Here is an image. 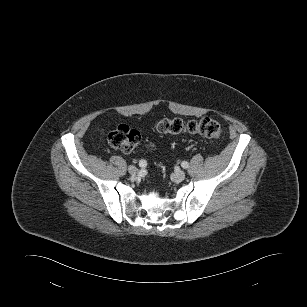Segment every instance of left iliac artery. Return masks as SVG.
<instances>
[{"label":"left iliac artery","mask_w":307,"mask_h":307,"mask_svg":"<svg viewBox=\"0 0 307 307\" xmlns=\"http://www.w3.org/2000/svg\"><path fill=\"white\" fill-rule=\"evenodd\" d=\"M181 166L184 168V169H187L189 167V164L187 161H183Z\"/></svg>","instance_id":"obj_1"}]
</instances>
